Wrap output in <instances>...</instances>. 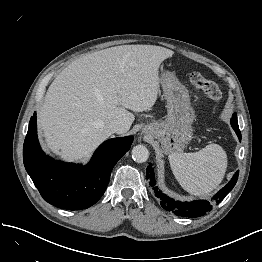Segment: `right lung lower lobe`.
<instances>
[{
  "label": "right lung lower lobe",
  "mask_w": 262,
  "mask_h": 262,
  "mask_svg": "<svg viewBox=\"0 0 262 262\" xmlns=\"http://www.w3.org/2000/svg\"><path fill=\"white\" fill-rule=\"evenodd\" d=\"M132 141V136L105 141L86 166L64 163L41 150L34 113L23 145V160L44 200L59 208L81 210L95 204L103 195L114 165L130 149Z\"/></svg>",
  "instance_id": "right-lung-lower-lobe-1"
}]
</instances>
